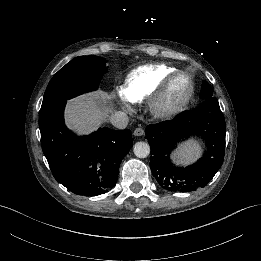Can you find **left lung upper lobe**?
Instances as JSON below:
<instances>
[{"mask_svg": "<svg viewBox=\"0 0 261 261\" xmlns=\"http://www.w3.org/2000/svg\"><path fill=\"white\" fill-rule=\"evenodd\" d=\"M209 97H213V89L206 81H204L202 84L201 92H200V98L206 99Z\"/></svg>", "mask_w": 261, "mask_h": 261, "instance_id": "obj_1", "label": "left lung upper lobe"}]
</instances>
